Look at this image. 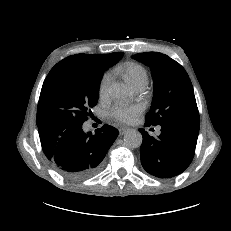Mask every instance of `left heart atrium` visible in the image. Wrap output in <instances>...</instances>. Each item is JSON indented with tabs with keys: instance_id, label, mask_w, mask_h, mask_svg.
<instances>
[{
	"instance_id": "left-heart-atrium-1",
	"label": "left heart atrium",
	"mask_w": 231,
	"mask_h": 231,
	"mask_svg": "<svg viewBox=\"0 0 231 231\" xmlns=\"http://www.w3.org/2000/svg\"><path fill=\"white\" fill-rule=\"evenodd\" d=\"M140 112V108L137 106H125V105H116L111 110V115L116 120L128 123Z\"/></svg>"
}]
</instances>
